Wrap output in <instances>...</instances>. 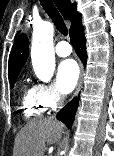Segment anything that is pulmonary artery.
<instances>
[{"instance_id":"1","label":"pulmonary artery","mask_w":114,"mask_h":156,"mask_svg":"<svg viewBox=\"0 0 114 156\" xmlns=\"http://www.w3.org/2000/svg\"><path fill=\"white\" fill-rule=\"evenodd\" d=\"M55 52L59 57H67L71 54V46L66 41H60L55 47Z\"/></svg>"}]
</instances>
